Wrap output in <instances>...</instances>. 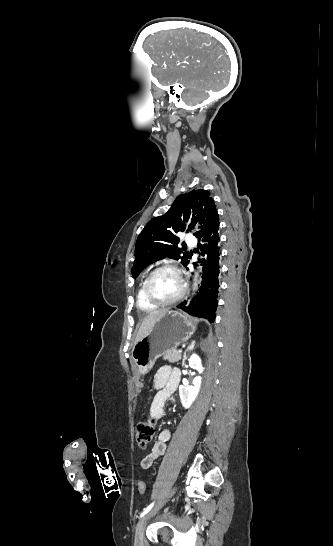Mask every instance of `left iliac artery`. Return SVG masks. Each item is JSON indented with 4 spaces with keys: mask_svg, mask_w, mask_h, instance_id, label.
<instances>
[{
    "mask_svg": "<svg viewBox=\"0 0 333 546\" xmlns=\"http://www.w3.org/2000/svg\"><path fill=\"white\" fill-rule=\"evenodd\" d=\"M153 505H154V502L151 503L149 506H147V507L143 510V512L141 513V515H140L139 518H142L145 514H147V513L152 509Z\"/></svg>",
    "mask_w": 333,
    "mask_h": 546,
    "instance_id": "1",
    "label": "left iliac artery"
}]
</instances>
